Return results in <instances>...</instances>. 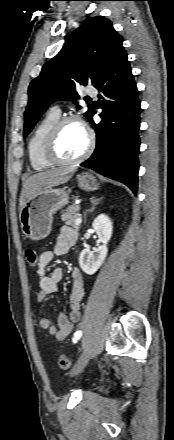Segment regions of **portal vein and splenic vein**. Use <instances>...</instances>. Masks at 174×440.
Here are the masks:
<instances>
[{
  "label": "portal vein and splenic vein",
  "instance_id": "obj_1",
  "mask_svg": "<svg viewBox=\"0 0 174 440\" xmlns=\"http://www.w3.org/2000/svg\"><path fill=\"white\" fill-rule=\"evenodd\" d=\"M81 223H82V219L81 218H76L75 224L76 225H80Z\"/></svg>",
  "mask_w": 174,
  "mask_h": 440
}]
</instances>
